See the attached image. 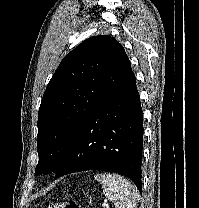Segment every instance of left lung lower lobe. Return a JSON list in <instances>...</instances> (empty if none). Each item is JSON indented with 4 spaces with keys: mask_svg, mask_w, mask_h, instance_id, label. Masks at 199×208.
<instances>
[{
    "mask_svg": "<svg viewBox=\"0 0 199 208\" xmlns=\"http://www.w3.org/2000/svg\"><path fill=\"white\" fill-rule=\"evenodd\" d=\"M143 130L131 69L82 125L54 179L73 172L104 170L129 177L141 192Z\"/></svg>",
    "mask_w": 199,
    "mask_h": 208,
    "instance_id": "0a47b994",
    "label": "left lung lower lobe"
}]
</instances>
